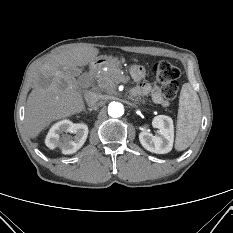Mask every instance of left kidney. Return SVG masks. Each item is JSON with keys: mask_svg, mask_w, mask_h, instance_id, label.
<instances>
[{"mask_svg": "<svg viewBox=\"0 0 233 233\" xmlns=\"http://www.w3.org/2000/svg\"><path fill=\"white\" fill-rule=\"evenodd\" d=\"M152 125L159 129V136L153 135L148 126L141 128L139 141L148 151L156 154H166L172 150L174 141V125L171 117L158 115L154 117Z\"/></svg>", "mask_w": 233, "mask_h": 233, "instance_id": "obj_1", "label": "left kidney"}]
</instances>
